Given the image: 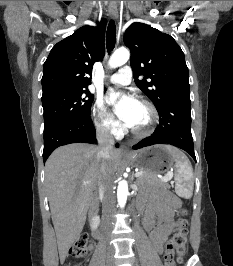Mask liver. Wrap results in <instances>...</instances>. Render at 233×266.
I'll use <instances>...</instances> for the list:
<instances>
[{"mask_svg":"<svg viewBox=\"0 0 233 266\" xmlns=\"http://www.w3.org/2000/svg\"><path fill=\"white\" fill-rule=\"evenodd\" d=\"M98 148L85 143H74L57 148L45 165V182L48 192L60 262L83 230L86 214L101 173L97 158ZM121 154L110 151L106 161L107 172L114 177ZM90 184L84 186L83 183Z\"/></svg>","mask_w":233,"mask_h":266,"instance_id":"obj_1","label":"liver"}]
</instances>
